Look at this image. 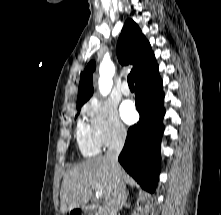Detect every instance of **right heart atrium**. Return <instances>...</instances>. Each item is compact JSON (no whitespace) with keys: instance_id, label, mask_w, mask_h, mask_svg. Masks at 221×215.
Segmentation results:
<instances>
[{"instance_id":"d8ad5b80","label":"right heart atrium","mask_w":221,"mask_h":215,"mask_svg":"<svg viewBox=\"0 0 221 215\" xmlns=\"http://www.w3.org/2000/svg\"><path fill=\"white\" fill-rule=\"evenodd\" d=\"M83 112L99 146H111L125 139L127 130L114 104L93 98L84 106Z\"/></svg>"}]
</instances>
